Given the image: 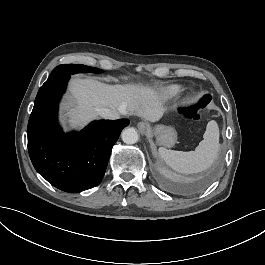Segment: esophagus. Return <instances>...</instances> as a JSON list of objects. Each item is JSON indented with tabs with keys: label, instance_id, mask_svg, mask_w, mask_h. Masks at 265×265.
Segmentation results:
<instances>
[{
	"label": "esophagus",
	"instance_id": "1",
	"mask_svg": "<svg viewBox=\"0 0 265 265\" xmlns=\"http://www.w3.org/2000/svg\"><path fill=\"white\" fill-rule=\"evenodd\" d=\"M137 127L142 134H146L149 131V125L145 122H139Z\"/></svg>",
	"mask_w": 265,
	"mask_h": 265
}]
</instances>
